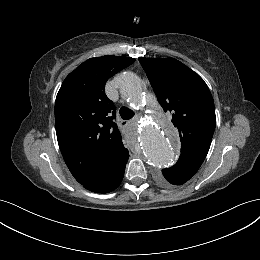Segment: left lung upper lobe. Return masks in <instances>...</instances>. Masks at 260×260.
<instances>
[{"label": "left lung upper lobe", "mask_w": 260, "mask_h": 260, "mask_svg": "<svg viewBox=\"0 0 260 260\" xmlns=\"http://www.w3.org/2000/svg\"><path fill=\"white\" fill-rule=\"evenodd\" d=\"M139 62L164 111L172 113V123L179 132L181 154L171 168L197 171L209 151L216 126L208 86L197 73L174 58L142 57Z\"/></svg>", "instance_id": "obj_1"}]
</instances>
